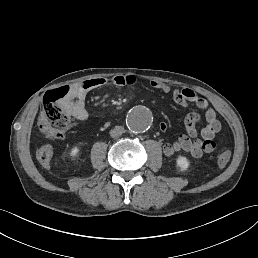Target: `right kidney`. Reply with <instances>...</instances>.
I'll return each mask as SVG.
<instances>
[{"instance_id": "right-kidney-1", "label": "right kidney", "mask_w": 258, "mask_h": 258, "mask_svg": "<svg viewBox=\"0 0 258 258\" xmlns=\"http://www.w3.org/2000/svg\"><path fill=\"white\" fill-rule=\"evenodd\" d=\"M78 153H79V148L78 147H74V148H72V150L70 152V156L71 157H76Z\"/></svg>"}]
</instances>
